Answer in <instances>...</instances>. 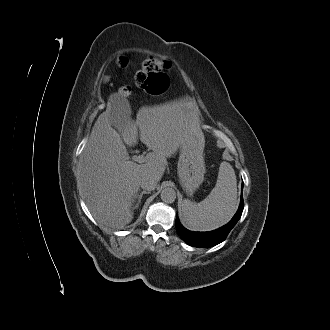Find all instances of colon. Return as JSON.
Masks as SVG:
<instances>
[{
  "label": "colon",
  "instance_id": "obj_1",
  "mask_svg": "<svg viewBox=\"0 0 330 330\" xmlns=\"http://www.w3.org/2000/svg\"><path fill=\"white\" fill-rule=\"evenodd\" d=\"M116 64L119 67H125L127 60L124 57H120L117 59ZM169 67L170 63L166 60L148 57L134 75L135 85L147 93L159 94L163 92L168 85V79L164 70ZM118 93L123 97H129L132 89L130 86L124 85L119 88Z\"/></svg>",
  "mask_w": 330,
  "mask_h": 330
}]
</instances>
